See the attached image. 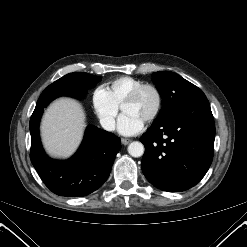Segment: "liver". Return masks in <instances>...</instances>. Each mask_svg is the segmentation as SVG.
Listing matches in <instances>:
<instances>
[{
    "instance_id": "1",
    "label": "liver",
    "mask_w": 247,
    "mask_h": 247,
    "mask_svg": "<svg viewBox=\"0 0 247 247\" xmlns=\"http://www.w3.org/2000/svg\"><path fill=\"white\" fill-rule=\"evenodd\" d=\"M85 127V115L81 105L73 99L61 98L46 110L41 134L49 154L68 157L78 147Z\"/></svg>"
}]
</instances>
